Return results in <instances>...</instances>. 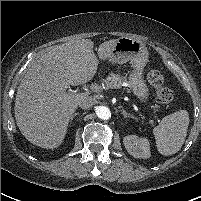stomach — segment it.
I'll return each mask as SVG.
<instances>
[{
	"mask_svg": "<svg viewBox=\"0 0 201 201\" xmlns=\"http://www.w3.org/2000/svg\"><path fill=\"white\" fill-rule=\"evenodd\" d=\"M149 52L144 43L132 38H122L116 44L111 56L112 63H125L130 61L132 71L128 85L134 95L142 102H146L149 89L143 79V70L148 62Z\"/></svg>",
	"mask_w": 201,
	"mask_h": 201,
	"instance_id": "1",
	"label": "stomach"
}]
</instances>
